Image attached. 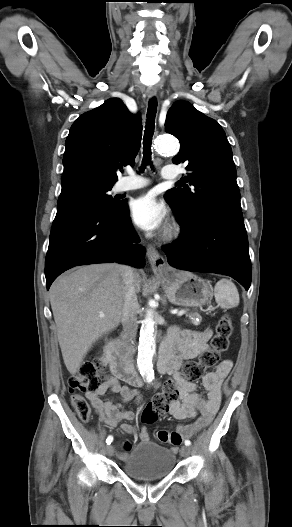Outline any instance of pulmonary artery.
I'll list each match as a JSON object with an SVG mask.
<instances>
[{"instance_id": "1", "label": "pulmonary artery", "mask_w": 292, "mask_h": 527, "mask_svg": "<svg viewBox=\"0 0 292 527\" xmlns=\"http://www.w3.org/2000/svg\"><path fill=\"white\" fill-rule=\"evenodd\" d=\"M162 178L173 180L177 177V170L174 166L167 165L162 168ZM149 184V181L133 172L129 176L121 179L116 188L118 191H130L143 188Z\"/></svg>"}]
</instances>
